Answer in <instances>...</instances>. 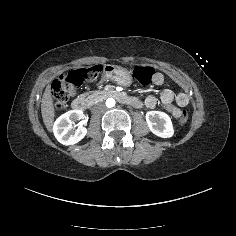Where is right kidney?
I'll return each mask as SVG.
<instances>
[{
    "label": "right kidney",
    "mask_w": 236,
    "mask_h": 236,
    "mask_svg": "<svg viewBox=\"0 0 236 236\" xmlns=\"http://www.w3.org/2000/svg\"><path fill=\"white\" fill-rule=\"evenodd\" d=\"M82 118H84L82 110H70L62 114L53 126L55 138L63 145H73L82 140L87 129L82 125H79L76 130L72 129V124Z\"/></svg>",
    "instance_id": "obj_1"
}]
</instances>
